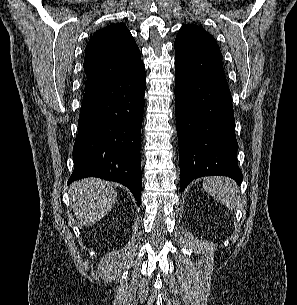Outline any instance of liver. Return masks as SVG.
<instances>
[{
    "mask_svg": "<svg viewBox=\"0 0 297 305\" xmlns=\"http://www.w3.org/2000/svg\"><path fill=\"white\" fill-rule=\"evenodd\" d=\"M116 200V190L111 182L105 180L86 178L71 186V207L85 226H91L107 215Z\"/></svg>",
    "mask_w": 297,
    "mask_h": 305,
    "instance_id": "obj_1",
    "label": "liver"
}]
</instances>
